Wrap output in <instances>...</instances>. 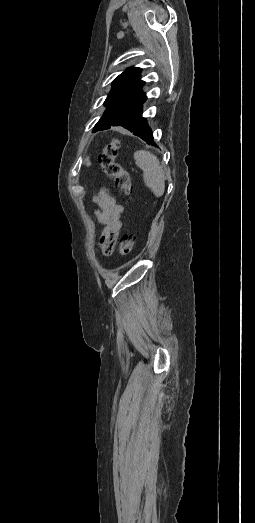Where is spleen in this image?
<instances>
[{"label":"spleen","mask_w":255,"mask_h":523,"mask_svg":"<svg viewBox=\"0 0 255 523\" xmlns=\"http://www.w3.org/2000/svg\"><path fill=\"white\" fill-rule=\"evenodd\" d=\"M134 160L136 166L143 170L144 182L148 188H151L154 196L156 198L163 196L165 190L164 172L156 156L146 152V150H138L134 154Z\"/></svg>","instance_id":"3e777b00"}]
</instances>
